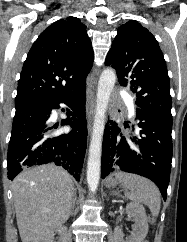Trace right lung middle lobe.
Here are the masks:
<instances>
[{"instance_id":"obj_1","label":"right lung middle lobe","mask_w":187,"mask_h":242,"mask_svg":"<svg viewBox=\"0 0 187 242\" xmlns=\"http://www.w3.org/2000/svg\"><path fill=\"white\" fill-rule=\"evenodd\" d=\"M28 108H30V107L16 108L15 114H19V113L23 112L24 110H26Z\"/></svg>"}]
</instances>
